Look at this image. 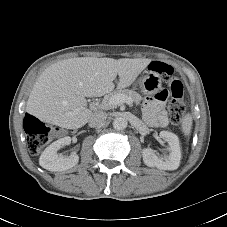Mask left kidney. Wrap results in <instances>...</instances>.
Segmentation results:
<instances>
[{
    "instance_id": "obj_1",
    "label": "left kidney",
    "mask_w": 227,
    "mask_h": 227,
    "mask_svg": "<svg viewBox=\"0 0 227 227\" xmlns=\"http://www.w3.org/2000/svg\"><path fill=\"white\" fill-rule=\"evenodd\" d=\"M159 136L168 143L169 155L158 157L152 149L145 148L142 151L143 161L149 167H157L162 170H176L181 160L178 136L168 131H161Z\"/></svg>"
}]
</instances>
